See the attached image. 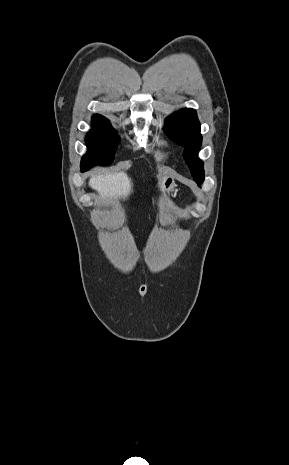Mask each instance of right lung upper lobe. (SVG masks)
Wrapping results in <instances>:
<instances>
[{
	"label": "right lung upper lobe",
	"instance_id": "obj_1",
	"mask_svg": "<svg viewBox=\"0 0 289 465\" xmlns=\"http://www.w3.org/2000/svg\"><path fill=\"white\" fill-rule=\"evenodd\" d=\"M92 125L96 129L107 128L111 126L106 118L98 114L92 116Z\"/></svg>",
	"mask_w": 289,
	"mask_h": 465
}]
</instances>
